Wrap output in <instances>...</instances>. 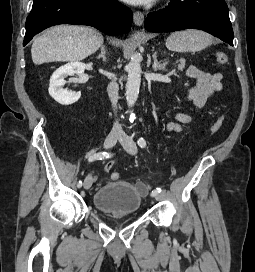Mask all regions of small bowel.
<instances>
[{
	"mask_svg": "<svg viewBox=\"0 0 255 272\" xmlns=\"http://www.w3.org/2000/svg\"><path fill=\"white\" fill-rule=\"evenodd\" d=\"M187 75L194 79V85L188 90L185 100L191 103L195 110L206 106L213 96L222 90V75L220 73H209L196 66L188 68ZM191 122V116L185 112L177 113L174 119L168 123V130L179 132L183 125ZM111 164L105 167L109 170Z\"/></svg>",
	"mask_w": 255,
	"mask_h": 272,
	"instance_id": "obj_1",
	"label": "small bowel"
}]
</instances>
